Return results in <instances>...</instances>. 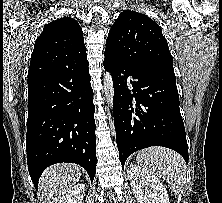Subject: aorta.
Here are the masks:
<instances>
[{
  "label": "aorta",
  "mask_w": 222,
  "mask_h": 203,
  "mask_svg": "<svg viewBox=\"0 0 222 203\" xmlns=\"http://www.w3.org/2000/svg\"><path fill=\"white\" fill-rule=\"evenodd\" d=\"M104 91L107 103L110 107L113 105L114 99V86H113V78L110 72H107L104 75Z\"/></svg>",
  "instance_id": "1"
}]
</instances>
